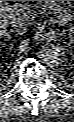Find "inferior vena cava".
Returning <instances> with one entry per match:
<instances>
[{"label":"inferior vena cava","instance_id":"inferior-vena-cava-1","mask_svg":"<svg viewBox=\"0 0 74 122\" xmlns=\"http://www.w3.org/2000/svg\"><path fill=\"white\" fill-rule=\"evenodd\" d=\"M9 24L23 34L29 24V17L25 14H16L10 17Z\"/></svg>","mask_w":74,"mask_h":122}]
</instances>
